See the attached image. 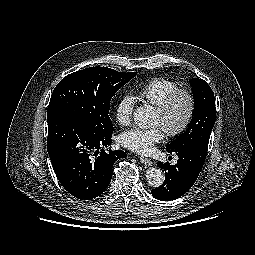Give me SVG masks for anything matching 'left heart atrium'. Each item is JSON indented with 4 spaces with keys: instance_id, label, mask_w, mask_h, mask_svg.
I'll list each match as a JSON object with an SVG mask.
<instances>
[{
    "instance_id": "1",
    "label": "left heart atrium",
    "mask_w": 255,
    "mask_h": 255,
    "mask_svg": "<svg viewBox=\"0 0 255 255\" xmlns=\"http://www.w3.org/2000/svg\"><path fill=\"white\" fill-rule=\"evenodd\" d=\"M162 139L163 129L160 125L151 129L133 128L119 136V142L123 147L139 154L151 153Z\"/></svg>"
}]
</instances>
